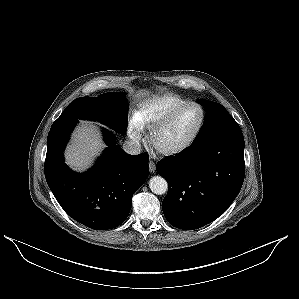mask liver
Wrapping results in <instances>:
<instances>
[{"label":"liver","mask_w":299,"mask_h":299,"mask_svg":"<svg viewBox=\"0 0 299 299\" xmlns=\"http://www.w3.org/2000/svg\"><path fill=\"white\" fill-rule=\"evenodd\" d=\"M103 148L98 131L87 122H82L73 134L72 143L67 147L66 163L75 171H84Z\"/></svg>","instance_id":"liver-1"}]
</instances>
